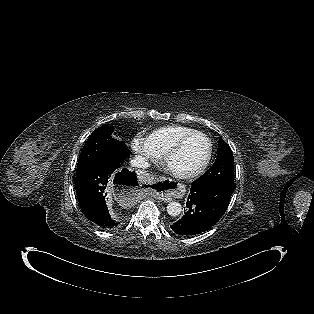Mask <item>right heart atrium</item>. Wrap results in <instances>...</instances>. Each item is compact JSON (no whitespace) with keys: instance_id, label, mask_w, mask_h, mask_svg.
Segmentation results:
<instances>
[{"instance_id":"obj_1","label":"right heart atrium","mask_w":314,"mask_h":314,"mask_svg":"<svg viewBox=\"0 0 314 314\" xmlns=\"http://www.w3.org/2000/svg\"><path fill=\"white\" fill-rule=\"evenodd\" d=\"M131 149L145 161H157L161 156L156 154L142 135H136L131 140Z\"/></svg>"}]
</instances>
